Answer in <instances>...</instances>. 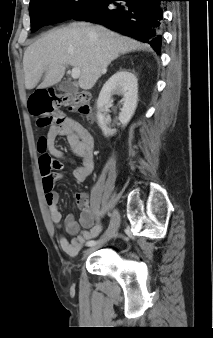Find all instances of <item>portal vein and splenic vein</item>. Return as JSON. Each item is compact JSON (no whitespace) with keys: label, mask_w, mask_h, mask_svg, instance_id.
Listing matches in <instances>:
<instances>
[{"label":"portal vein and splenic vein","mask_w":213,"mask_h":338,"mask_svg":"<svg viewBox=\"0 0 213 338\" xmlns=\"http://www.w3.org/2000/svg\"><path fill=\"white\" fill-rule=\"evenodd\" d=\"M71 76L73 79H78L80 77V69L74 67L71 71Z\"/></svg>","instance_id":"18ae733b"}]
</instances>
